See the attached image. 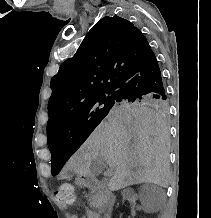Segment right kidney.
<instances>
[{"label":"right kidney","mask_w":211,"mask_h":218,"mask_svg":"<svg viewBox=\"0 0 211 218\" xmlns=\"http://www.w3.org/2000/svg\"><path fill=\"white\" fill-rule=\"evenodd\" d=\"M123 200H130V202H139V198L132 188H125L122 192ZM135 214H140V209H135Z\"/></svg>","instance_id":"ca27d5eb"}]
</instances>
